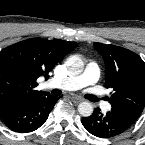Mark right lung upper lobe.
<instances>
[{
    "mask_svg": "<svg viewBox=\"0 0 145 145\" xmlns=\"http://www.w3.org/2000/svg\"><path fill=\"white\" fill-rule=\"evenodd\" d=\"M76 42L31 38L0 51V109L49 93L35 90L37 78L52 71Z\"/></svg>",
    "mask_w": 145,
    "mask_h": 145,
    "instance_id": "right-lung-upper-lobe-1",
    "label": "right lung upper lobe"
}]
</instances>
